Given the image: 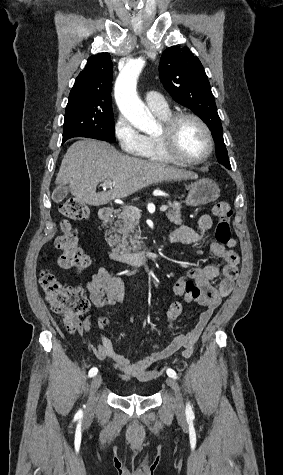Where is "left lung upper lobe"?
I'll return each mask as SVG.
<instances>
[{
  "label": "left lung upper lobe",
  "mask_w": 283,
  "mask_h": 475,
  "mask_svg": "<svg viewBox=\"0 0 283 475\" xmlns=\"http://www.w3.org/2000/svg\"><path fill=\"white\" fill-rule=\"evenodd\" d=\"M159 76L175 101L199 116L212 134H223L210 83L201 62L189 48H167L160 59Z\"/></svg>",
  "instance_id": "obj_1"
}]
</instances>
